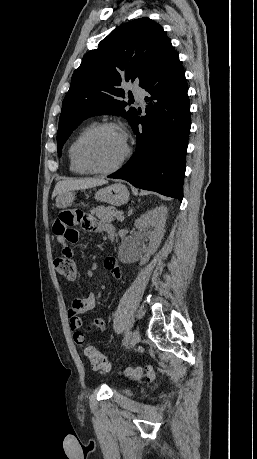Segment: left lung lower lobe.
I'll use <instances>...</instances> for the list:
<instances>
[{"mask_svg":"<svg viewBox=\"0 0 257 459\" xmlns=\"http://www.w3.org/2000/svg\"><path fill=\"white\" fill-rule=\"evenodd\" d=\"M143 88L149 93L147 115L137 114L131 123L136 151L108 177L181 201L191 121L185 72L175 49ZM140 123L142 129H138Z\"/></svg>","mask_w":257,"mask_h":459,"instance_id":"1","label":"left lung lower lobe"}]
</instances>
